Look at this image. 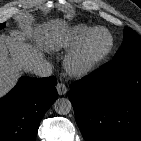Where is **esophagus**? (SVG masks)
I'll list each match as a JSON object with an SVG mask.
<instances>
[{
    "instance_id": "1",
    "label": "esophagus",
    "mask_w": 141,
    "mask_h": 141,
    "mask_svg": "<svg viewBox=\"0 0 141 141\" xmlns=\"http://www.w3.org/2000/svg\"><path fill=\"white\" fill-rule=\"evenodd\" d=\"M56 89L59 95H64L67 92V87L64 83H58Z\"/></svg>"
}]
</instances>
